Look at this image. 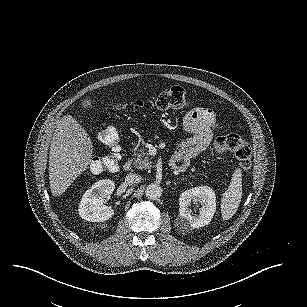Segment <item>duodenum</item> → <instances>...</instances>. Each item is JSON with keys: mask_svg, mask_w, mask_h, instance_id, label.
I'll return each instance as SVG.
<instances>
[{"mask_svg": "<svg viewBox=\"0 0 307 307\" xmlns=\"http://www.w3.org/2000/svg\"><path fill=\"white\" fill-rule=\"evenodd\" d=\"M171 167L173 169H177V167H175L173 164H171ZM122 169L125 171V172H128L132 169V161L130 159H127L124 163H123V166H122Z\"/></svg>", "mask_w": 307, "mask_h": 307, "instance_id": "410a0bca", "label": "duodenum"}]
</instances>
